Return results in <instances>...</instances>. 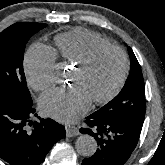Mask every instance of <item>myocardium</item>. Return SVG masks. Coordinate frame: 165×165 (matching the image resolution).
<instances>
[{
  "label": "myocardium",
  "instance_id": "myocardium-1",
  "mask_svg": "<svg viewBox=\"0 0 165 165\" xmlns=\"http://www.w3.org/2000/svg\"><path fill=\"white\" fill-rule=\"evenodd\" d=\"M105 50H112L120 54L122 58V70L114 87L106 95L92 100V103L97 105L105 104L112 100L124 85L129 70V60L127 54L122 48L116 45L110 43L102 44L92 48L77 64H75L77 69L84 70L91 64V62L100 52Z\"/></svg>",
  "mask_w": 165,
  "mask_h": 165
}]
</instances>
